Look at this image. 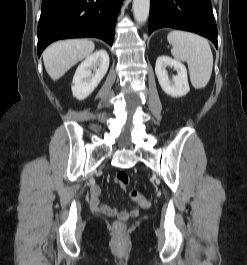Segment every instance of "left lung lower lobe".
I'll return each mask as SVG.
<instances>
[{"label": "left lung lower lobe", "instance_id": "obj_1", "mask_svg": "<svg viewBox=\"0 0 247 265\" xmlns=\"http://www.w3.org/2000/svg\"><path fill=\"white\" fill-rule=\"evenodd\" d=\"M172 27L200 34L217 47L211 0H150L148 32Z\"/></svg>", "mask_w": 247, "mask_h": 265}]
</instances>
